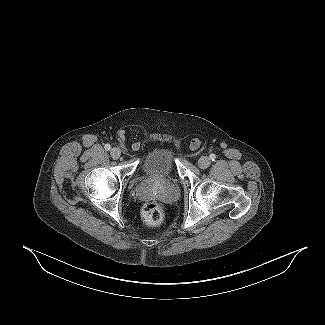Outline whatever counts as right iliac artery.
<instances>
[{
  "instance_id": "right-iliac-artery-1",
  "label": "right iliac artery",
  "mask_w": 325,
  "mask_h": 325,
  "mask_svg": "<svg viewBox=\"0 0 325 325\" xmlns=\"http://www.w3.org/2000/svg\"><path fill=\"white\" fill-rule=\"evenodd\" d=\"M105 149H106L107 151L111 150V146H110V144H106V145H105Z\"/></svg>"
}]
</instances>
